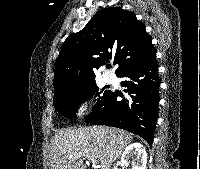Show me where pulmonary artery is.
<instances>
[{
  "label": "pulmonary artery",
  "instance_id": "obj_1",
  "mask_svg": "<svg viewBox=\"0 0 200 169\" xmlns=\"http://www.w3.org/2000/svg\"><path fill=\"white\" fill-rule=\"evenodd\" d=\"M103 79L105 82L111 83L114 81V76L110 73L103 74Z\"/></svg>",
  "mask_w": 200,
  "mask_h": 169
}]
</instances>
